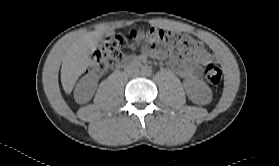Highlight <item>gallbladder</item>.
<instances>
[{
	"label": "gallbladder",
	"mask_w": 279,
	"mask_h": 166,
	"mask_svg": "<svg viewBox=\"0 0 279 166\" xmlns=\"http://www.w3.org/2000/svg\"><path fill=\"white\" fill-rule=\"evenodd\" d=\"M112 33L110 32V31H106V32H104V34H103V38H106V37H108V36H110Z\"/></svg>",
	"instance_id": "bac80fb5"
}]
</instances>
